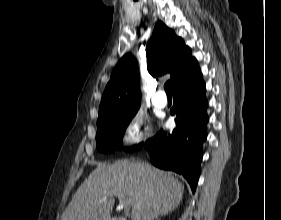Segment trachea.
<instances>
[{
  "label": "trachea",
  "mask_w": 281,
  "mask_h": 220,
  "mask_svg": "<svg viewBox=\"0 0 281 220\" xmlns=\"http://www.w3.org/2000/svg\"><path fill=\"white\" fill-rule=\"evenodd\" d=\"M164 89H165V92H166L167 96H171V95H172V90H171V83H170V81H168V82L165 83Z\"/></svg>",
  "instance_id": "obj_1"
}]
</instances>
